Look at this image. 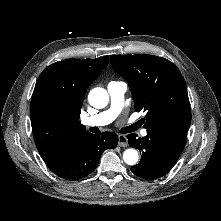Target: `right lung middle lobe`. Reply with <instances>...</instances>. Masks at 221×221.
Wrapping results in <instances>:
<instances>
[{"label":"right lung middle lobe","mask_w":221,"mask_h":221,"mask_svg":"<svg viewBox=\"0 0 221 221\" xmlns=\"http://www.w3.org/2000/svg\"><path fill=\"white\" fill-rule=\"evenodd\" d=\"M37 99L42 105L52 110H70L74 107L69 94L55 84H41Z\"/></svg>","instance_id":"right-lung-middle-lobe-1"}]
</instances>
